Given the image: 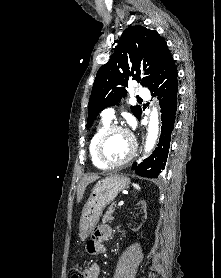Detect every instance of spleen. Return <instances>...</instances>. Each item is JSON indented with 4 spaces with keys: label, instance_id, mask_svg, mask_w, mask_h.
<instances>
[{
    "label": "spleen",
    "instance_id": "1",
    "mask_svg": "<svg viewBox=\"0 0 221 278\" xmlns=\"http://www.w3.org/2000/svg\"><path fill=\"white\" fill-rule=\"evenodd\" d=\"M134 186L137 188V189H140L139 185L137 184H134Z\"/></svg>",
    "mask_w": 221,
    "mask_h": 278
}]
</instances>
